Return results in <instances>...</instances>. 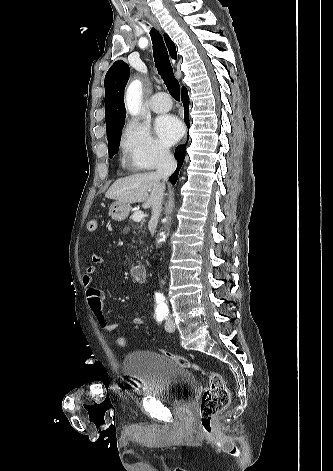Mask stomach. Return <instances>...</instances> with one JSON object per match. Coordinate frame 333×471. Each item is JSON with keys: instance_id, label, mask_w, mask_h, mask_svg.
Returning a JSON list of instances; mask_svg holds the SVG:
<instances>
[{"instance_id": "0dacf381", "label": "stomach", "mask_w": 333, "mask_h": 471, "mask_svg": "<svg viewBox=\"0 0 333 471\" xmlns=\"http://www.w3.org/2000/svg\"><path fill=\"white\" fill-rule=\"evenodd\" d=\"M129 210V204L115 201L109 208V215L115 221H122L127 217Z\"/></svg>"}]
</instances>
